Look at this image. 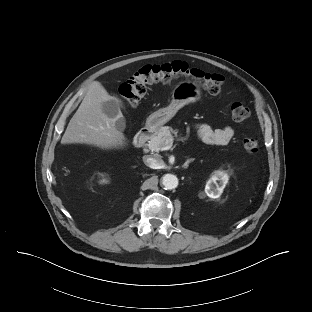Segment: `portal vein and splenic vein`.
Instances as JSON below:
<instances>
[{
  "mask_svg": "<svg viewBox=\"0 0 312 312\" xmlns=\"http://www.w3.org/2000/svg\"><path fill=\"white\" fill-rule=\"evenodd\" d=\"M171 146H172V143H170L169 145L165 146L163 149H164V150H167V149H169Z\"/></svg>",
  "mask_w": 312,
  "mask_h": 312,
  "instance_id": "obj_1",
  "label": "portal vein and splenic vein"
}]
</instances>
